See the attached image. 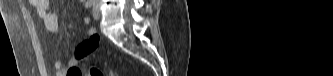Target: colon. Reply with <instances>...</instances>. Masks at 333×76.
<instances>
[{
  "label": "colon",
  "instance_id": "5ec220e1",
  "mask_svg": "<svg viewBox=\"0 0 333 76\" xmlns=\"http://www.w3.org/2000/svg\"><path fill=\"white\" fill-rule=\"evenodd\" d=\"M83 73V72H82ZM88 75L90 76H103V73L101 70L97 69V68H94V67H91L89 70H88ZM110 76H114L115 73L114 72H110L109 73Z\"/></svg>",
  "mask_w": 333,
  "mask_h": 76
}]
</instances>
